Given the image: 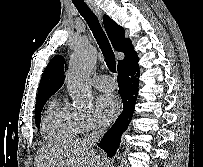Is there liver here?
<instances>
[{
  "instance_id": "6515ba94",
  "label": "liver",
  "mask_w": 203,
  "mask_h": 167,
  "mask_svg": "<svg viewBox=\"0 0 203 167\" xmlns=\"http://www.w3.org/2000/svg\"><path fill=\"white\" fill-rule=\"evenodd\" d=\"M36 160L35 167H102L97 152L83 141L42 148Z\"/></svg>"
}]
</instances>
